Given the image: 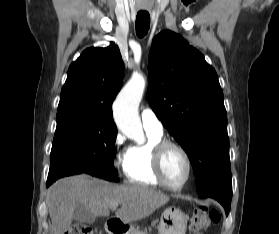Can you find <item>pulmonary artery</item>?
Returning <instances> with one entry per match:
<instances>
[{
  "instance_id": "e3ab8cb5",
  "label": "pulmonary artery",
  "mask_w": 279,
  "mask_h": 234,
  "mask_svg": "<svg viewBox=\"0 0 279 234\" xmlns=\"http://www.w3.org/2000/svg\"><path fill=\"white\" fill-rule=\"evenodd\" d=\"M141 121L144 129L146 131L162 134L163 133V125L161 121L158 119L155 112L149 108L145 107L141 111Z\"/></svg>"
}]
</instances>
